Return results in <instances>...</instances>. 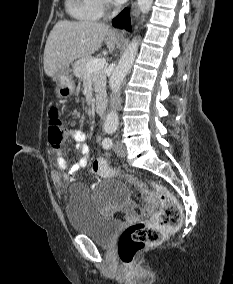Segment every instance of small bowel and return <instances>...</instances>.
<instances>
[{
	"instance_id": "1",
	"label": "small bowel",
	"mask_w": 233,
	"mask_h": 284,
	"mask_svg": "<svg viewBox=\"0 0 233 284\" xmlns=\"http://www.w3.org/2000/svg\"><path fill=\"white\" fill-rule=\"evenodd\" d=\"M69 135L75 140V149L82 155V157L77 162L70 165L67 156L62 152H57L54 160V166L56 169L54 180L57 184H61L64 181H74L76 179L77 172L85 168L88 163L89 146L86 143V134L81 130L72 129L69 131ZM91 172L94 173L92 170Z\"/></svg>"
}]
</instances>
